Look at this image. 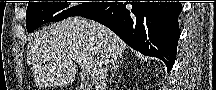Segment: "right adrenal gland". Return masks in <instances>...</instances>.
Instances as JSON below:
<instances>
[{
	"label": "right adrenal gland",
	"instance_id": "2a0ac1e0",
	"mask_svg": "<svg viewBox=\"0 0 216 90\" xmlns=\"http://www.w3.org/2000/svg\"><path fill=\"white\" fill-rule=\"evenodd\" d=\"M122 60H124V58H114V60H112L111 64L112 66H110V70L112 72L111 76H110V82H113L114 80V76H115V72H117L118 70V66H116L117 62H119V64H122Z\"/></svg>",
	"mask_w": 216,
	"mask_h": 90
}]
</instances>
